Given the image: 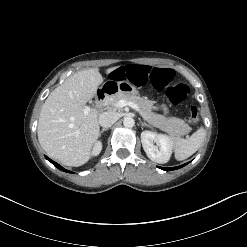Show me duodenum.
<instances>
[{
  "label": "duodenum",
  "instance_id": "1",
  "mask_svg": "<svg viewBox=\"0 0 247 247\" xmlns=\"http://www.w3.org/2000/svg\"><path fill=\"white\" fill-rule=\"evenodd\" d=\"M116 91H117V87L114 86V85H105V86H103L97 92V96H96L97 104L100 106L108 95H110L112 93H115Z\"/></svg>",
  "mask_w": 247,
  "mask_h": 247
}]
</instances>
